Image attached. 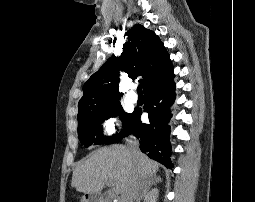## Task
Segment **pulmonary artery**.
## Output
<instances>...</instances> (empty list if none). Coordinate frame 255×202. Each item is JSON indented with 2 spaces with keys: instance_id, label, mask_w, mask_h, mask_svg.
I'll return each instance as SVG.
<instances>
[{
  "instance_id": "pulmonary-artery-1",
  "label": "pulmonary artery",
  "mask_w": 255,
  "mask_h": 202,
  "mask_svg": "<svg viewBox=\"0 0 255 202\" xmlns=\"http://www.w3.org/2000/svg\"><path fill=\"white\" fill-rule=\"evenodd\" d=\"M128 100L131 102V103H136L138 101V96L135 92L131 91L129 92L128 94Z\"/></svg>"
}]
</instances>
